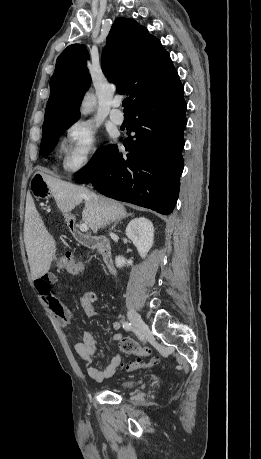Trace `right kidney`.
Masks as SVG:
<instances>
[{"mask_svg": "<svg viewBox=\"0 0 261 459\" xmlns=\"http://www.w3.org/2000/svg\"><path fill=\"white\" fill-rule=\"evenodd\" d=\"M126 235L137 248L140 256L145 258L154 243V227L152 222L145 218L139 217L131 220L126 227ZM116 267L132 265V260H126L123 256L115 258Z\"/></svg>", "mask_w": 261, "mask_h": 459, "instance_id": "right-kidney-1", "label": "right kidney"}]
</instances>
